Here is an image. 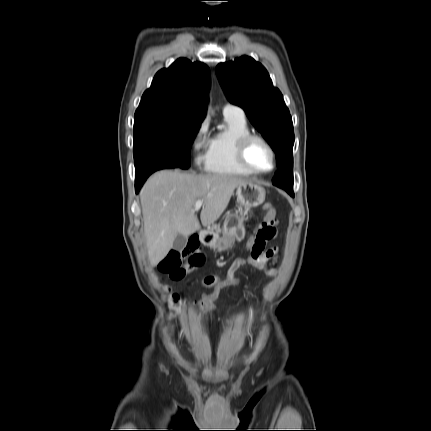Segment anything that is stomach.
Masks as SVG:
<instances>
[{
	"mask_svg": "<svg viewBox=\"0 0 431 431\" xmlns=\"http://www.w3.org/2000/svg\"><path fill=\"white\" fill-rule=\"evenodd\" d=\"M237 202L244 208L240 212H231L226 215L223 223L222 235L213 230L207 231L202 241L205 245L218 251L229 250L235 241H241L245 237L244 221L248 212L265 200V189L253 182H246L237 187Z\"/></svg>",
	"mask_w": 431,
	"mask_h": 431,
	"instance_id": "stomach-1",
	"label": "stomach"
}]
</instances>
